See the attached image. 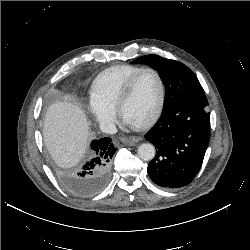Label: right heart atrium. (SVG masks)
I'll return each instance as SVG.
<instances>
[{
    "label": "right heart atrium",
    "mask_w": 250,
    "mask_h": 250,
    "mask_svg": "<svg viewBox=\"0 0 250 250\" xmlns=\"http://www.w3.org/2000/svg\"><path fill=\"white\" fill-rule=\"evenodd\" d=\"M86 111L92 116L93 120L104 128H108L112 125L114 119V112L111 109H107L98 103L89 101Z\"/></svg>",
    "instance_id": "1"
}]
</instances>
